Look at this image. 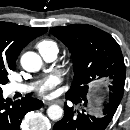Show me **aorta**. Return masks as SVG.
I'll return each instance as SVG.
<instances>
[{"label": "aorta", "instance_id": "obj_1", "mask_svg": "<svg viewBox=\"0 0 130 130\" xmlns=\"http://www.w3.org/2000/svg\"><path fill=\"white\" fill-rule=\"evenodd\" d=\"M21 65L28 72H37L42 68L43 62L37 53L26 52L21 57ZM47 114L51 120H59L63 116V109L59 105H51Z\"/></svg>", "mask_w": 130, "mask_h": 130}]
</instances>
